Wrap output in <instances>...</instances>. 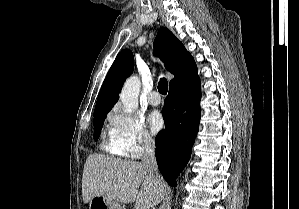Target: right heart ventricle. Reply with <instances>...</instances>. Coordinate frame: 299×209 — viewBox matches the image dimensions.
<instances>
[{
  "mask_svg": "<svg viewBox=\"0 0 299 209\" xmlns=\"http://www.w3.org/2000/svg\"><path fill=\"white\" fill-rule=\"evenodd\" d=\"M109 135V132H108ZM102 148L110 153L113 154H119L118 150L116 149L115 145L113 144V142L110 139L109 136V140H105L102 144Z\"/></svg>",
  "mask_w": 299,
  "mask_h": 209,
  "instance_id": "e07e8e85",
  "label": "right heart ventricle"
}]
</instances>
